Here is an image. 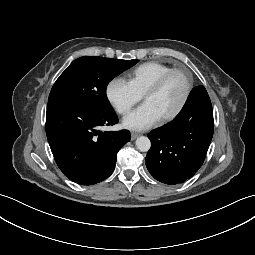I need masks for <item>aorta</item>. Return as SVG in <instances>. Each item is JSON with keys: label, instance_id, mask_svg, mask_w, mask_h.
I'll return each instance as SVG.
<instances>
[{"label": "aorta", "instance_id": "762f6f07", "mask_svg": "<svg viewBox=\"0 0 255 255\" xmlns=\"http://www.w3.org/2000/svg\"><path fill=\"white\" fill-rule=\"evenodd\" d=\"M136 147L141 152L149 151L151 147V142L148 137L140 136L136 139Z\"/></svg>", "mask_w": 255, "mask_h": 255}]
</instances>
